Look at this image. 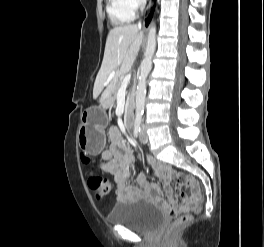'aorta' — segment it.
Here are the masks:
<instances>
[{
    "label": "aorta",
    "mask_w": 264,
    "mask_h": 247,
    "mask_svg": "<svg viewBox=\"0 0 264 247\" xmlns=\"http://www.w3.org/2000/svg\"><path fill=\"white\" fill-rule=\"evenodd\" d=\"M156 49V27L151 25L149 27V33L147 37V45L145 48V57L141 62L140 66V76L137 84L136 90V120L140 121L145 106V97H146V79L152 68V57Z\"/></svg>",
    "instance_id": "obj_1"
}]
</instances>
